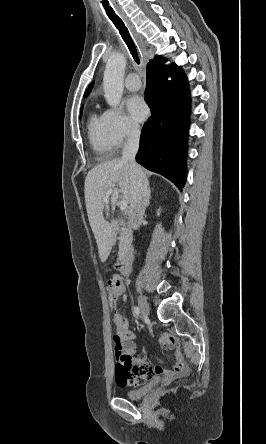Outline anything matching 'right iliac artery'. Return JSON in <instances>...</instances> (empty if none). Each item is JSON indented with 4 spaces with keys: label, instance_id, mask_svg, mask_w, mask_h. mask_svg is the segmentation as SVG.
<instances>
[{
    "label": "right iliac artery",
    "instance_id": "82829eb1",
    "mask_svg": "<svg viewBox=\"0 0 266 444\" xmlns=\"http://www.w3.org/2000/svg\"><path fill=\"white\" fill-rule=\"evenodd\" d=\"M134 314L138 317L139 316V314H140V310H139V308L136 306V307H134Z\"/></svg>",
    "mask_w": 266,
    "mask_h": 444
}]
</instances>
